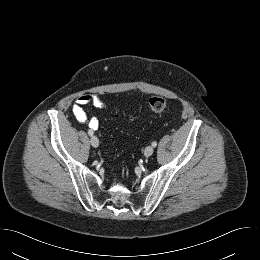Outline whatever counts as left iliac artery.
I'll return each mask as SVG.
<instances>
[{
  "instance_id": "obj_1",
  "label": "left iliac artery",
  "mask_w": 260,
  "mask_h": 260,
  "mask_svg": "<svg viewBox=\"0 0 260 260\" xmlns=\"http://www.w3.org/2000/svg\"><path fill=\"white\" fill-rule=\"evenodd\" d=\"M152 146H153V147H156V146H157V142H156V141H153V142H152Z\"/></svg>"
}]
</instances>
